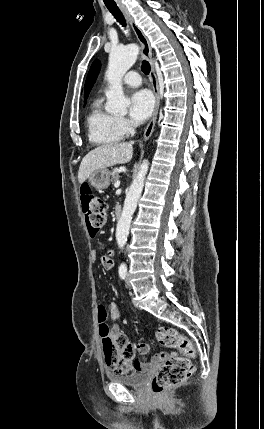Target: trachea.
<instances>
[{"mask_svg": "<svg viewBox=\"0 0 264 429\" xmlns=\"http://www.w3.org/2000/svg\"><path fill=\"white\" fill-rule=\"evenodd\" d=\"M107 9L112 13L114 18L123 26L126 27V21L124 19V16L122 15L121 11L117 7L116 4H105ZM142 71L144 74L148 75L150 72V64L148 61L144 60L142 62Z\"/></svg>", "mask_w": 264, "mask_h": 429, "instance_id": "trachea-1", "label": "trachea"}]
</instances>
